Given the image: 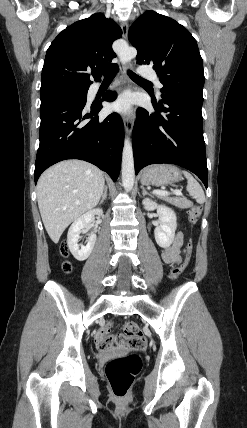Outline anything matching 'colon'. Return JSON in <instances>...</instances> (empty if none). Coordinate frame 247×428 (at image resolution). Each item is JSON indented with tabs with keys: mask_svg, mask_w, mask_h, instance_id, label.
I'll return each instance as SVG.
<instances>
[{
	"mask_svg": "<svg viewBox=\"0 0 247 428\" xmlns=\"http://www.w3.org/2000/svg\"><path fill=\"white\" fill-rule=\"evenodd\" d=\"M201 214V208L194 205L189 210V221L191 224H196ZM193 251L192 241H188L185 246L183 261L174 266L171 270L172 279H178L185 266L187 265ZM62 255H68V247L62 243L60 247ZM63 270L70 272L72 265L69 262L63 263ZM111 324H107L101 331V337L98 341V347L102 350L112 348L113 346H120L130 348L135 351L142 350L147 345V340L143 335L140 327L134 323L129 322L125 324L123 333L116 336L110 334ZM141 368V360L136 354L116 357L107 362L105 366V374L110 384L113 394L117 398H123L128 393L135 376Z\"/></svg>",
	"mask_w": 247,
	"mask_h": 428,
	"instance_id": "colon-1",
	"label": "colon"
}]
</instances>
